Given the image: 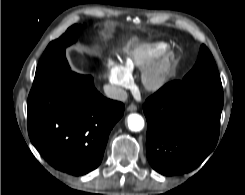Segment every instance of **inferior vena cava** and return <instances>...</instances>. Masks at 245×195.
Returning <instances> with one entry per match:
<instances>
[{
    "label": "inferior vena cava",
    "mask_w": 245,
    "mask_h": 195,
    "mask_svg": "<svg viewBox=\"0 0 245 195\" xmlns=\"http://www.w3.org/2000/svg\"><path fill=\"white\" fill-rule=\"evenodd\" d=\"M104 92L108 98L122 102H125L127 100V93L122 88L113 85H105Z\"/></svg>",
    "instance_id": "1"
}]
</instances>
